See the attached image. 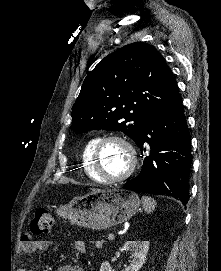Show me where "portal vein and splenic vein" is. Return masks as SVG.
I'll list each match as a JSON object with an SVG mask.
<instances>
[{"mask_svg":"<svg viewBox=\"0 0 221 271\" xmlns=\"http://www.w3.org/2000/svg\"><path fill=\"white\" fill-rule=\"evenodd\" d=\"M115 238H116V237H115V235H113V233H111V235H108V236H107V239H108V240H115Z\"/></svg>","mask_w":221,"mask_h":271,"instance_id":"18ae733b","label":"portal vein and splenic vein"}]
</instances>
